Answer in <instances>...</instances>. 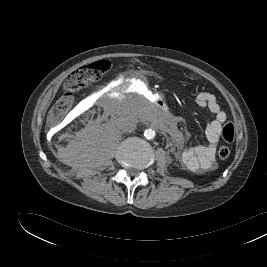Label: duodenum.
<instances>
[{"label": "duodenum", "mask_w": 267, "mask_h": 267, "mask_svg": "<svg viewBox=\"0 0 267 267\" xmlns=\"http://www.w3.org/2000/svg\"><path fill=\"white\" fill-rule=\"evenodd\" d=\"M140 82L138 80H131L129 84L125 82H120L115 88L116 94L125 93L126 91H131L133 95H137L138 98H145L150 101L156 108L166 109L165 103L154 93L139 90Z\"/></svg>", "instance_id": "duodenum-1"}]
</instances>
